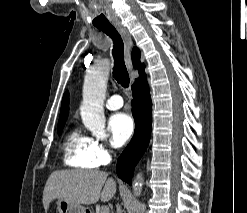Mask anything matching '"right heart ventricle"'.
<instances>
[{
	"instance_id": "obj_1",
	"label": "right heart ventricle",
	"mask_w": 247,
	"mask_h": 213,
	"mask_svg": "<svg viewBox=\"0 0 247 213\" xmlns=\"http://www.w3.org/2000/svg\"><path fill=\"white\" fill-rule=\"evenodd\" d=\"M90 145L89 137L83 136L77 129L70 130L63 145L65 163L77 168H94L89 156Z\"/></svg>"
}]
</instances>
